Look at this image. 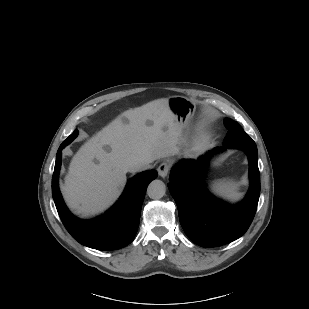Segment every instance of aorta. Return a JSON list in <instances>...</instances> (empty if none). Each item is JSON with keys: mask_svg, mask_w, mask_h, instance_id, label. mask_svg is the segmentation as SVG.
<instances>
[{"mask_svg": "<svg viewBox=\"0 0 309 309\" xmlns=\"http://www.w3.org/2000/svg\"><path fill=\"white\" fill-rule=\"evenodd\" d=\"M166 186L161 180H153L147 187V195L151 199H160L165 195Z\"/></svg>", "mask_w": 309, "mask_h": 309, "instance_id": "762f6f07", "label": "aorta"}]
</instances>
